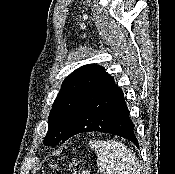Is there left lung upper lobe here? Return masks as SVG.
Returning <instances> with one entry per match:
<instances>
[{
    "instance_id": "5c2ea615",
    "label": "left lung upper lobe",
    "mask_w": 175,
    "mask_h": 174,
    "mask_svg": "<svg viewBox=\"0 0 175 174\" xmlns=\"http://www.w3.org/2000/svg\"><path fill=\"white\" fill-rule=\"evenodd\" d=\"M104 67L88 64L76 69L63 82L48 119V132L44 139L47 146L62 141L70 117L78 102L92 89L108 79Z\"/></svg>"
}]
</instances>
